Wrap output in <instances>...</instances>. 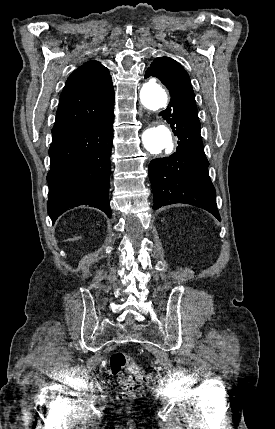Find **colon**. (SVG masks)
<instances>
[{
	"instance_id": "5ec220e1",
	"label": "colon",
	"mask_w": 275,
	"mask_h": 429,
	"mask_svg": "<svg viewBox=\"0 0 275 429\" xmlns=\"http://www.w3.org/2000/svg\"><path fill=\"white\" fill-rule=\"evenodd\" d=\"M110 371L120 378L122 389L118 398L122 402L132 401L147 380V375L138 363L126 353L114 352L109 359Z\"/></svg>"
}]
</instances>
